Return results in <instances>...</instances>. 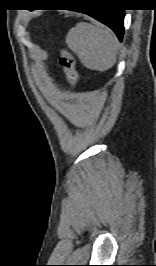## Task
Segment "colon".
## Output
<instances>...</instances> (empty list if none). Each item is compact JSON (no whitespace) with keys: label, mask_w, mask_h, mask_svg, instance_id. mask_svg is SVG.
<instances>
[{"label":"colon","mask_w":156,"mask_h":266,"mask_svg":"<svg viewBox=\"0 0 156 266\" xmlns=\"http://www.w3.org/2000/svg\"><path fill=\"white\" fill-rule=\"evenodd\" d=\"M59 64L64 70L67 81L74 88L77 83L78 72L75 67L73 55L68 50L62 49L60 53Z\"/></svg>","instance_id":"obj_1"}]
</instances>
